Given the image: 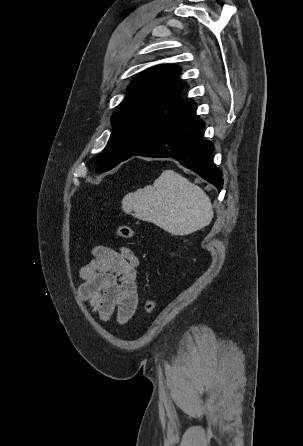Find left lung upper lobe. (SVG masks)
I'll list each match as a JSON object with an SVG mask.
<instances>
[{
  "label": "left lung upper lobe",
  "instance_id": "obj_1",
  "mask_svg": "<svg viewBox=\"0 0 303 446\" xmlns=\"http://www.w3.org/2000/svg\"><path fill=\"white\" fill-rule=\"evenodd\" d=\"M180 67L160 65L141 73L128 86V95L112 115L114 129L102 153L94 159L102 171L118 165L173 132L196 107L179 98Z\"/></svg>",
  "mask_w": 303,
  "mask_h": 446
}]
</instances>
